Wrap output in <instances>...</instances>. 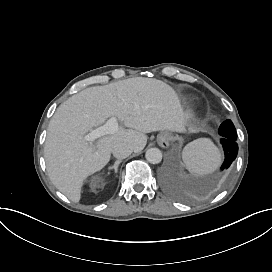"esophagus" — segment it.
<instances>
[{
    "mask_svg": "<svg viewBox=\"0 0 272 272\" xmlns=\"http://www.w3.org/2000/svg\"><path fill=\"white\" fill-rule=\"evenodd\" d=\"M160 145H161L163 148H165V147H167V146L169 145V142H168V140H167L166 137H164V138L161 139Z\"/></svg>",
    "mask_w": 272,
    "mask_h": 272,
    "instance_id": "34e87169",
    "label": "esophagus"
}]
</instances>
